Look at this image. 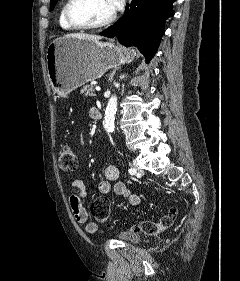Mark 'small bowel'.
<instances>
[{
  "label": "small bowel",
  "mask_w": 240,
  "mask_h": 281,
  "mask_svg": "<svg viewBox=\"0 0 240 281\" xmlns=\"http://www.w3.org/2000/svg\"><path fill=\"white\" fill-rule=\"evenodd\" d=\"M95 110L91 109L89 115L95 119ZM118 169L114 165H108L102 172V178L98 183V191L101 194H108L113 190L116 195L125 197L130 205L135 206L139 204L140 197L132 193L125 183L118 181ZM73 193L69 197V205L75 220L85 225V229L88 233L94 234L100 232L98 225L89 221L88 213L83 205V201L86 198V189L84 182L80 179H76L72 182Z\"/></svg>",
  "instance_id": "small-bowel-1"
}]
</instances>
